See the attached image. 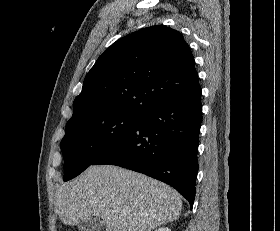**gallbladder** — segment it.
Returning <instances> with one entry per match:
<instances>
[{
    "instance_id": "1",
    "label": "gallbladder",
    "mask_w": 280,
    "mask_h": 231,
    "mask_svg": "<svg viewBox=\"0 0 280 231\" xmlns=\"http://www.w3.org/2000/svg\"><path fill=\"white\" fill-rule=\"evenodd\" d=\"M78 227L81 231H101L104 227V221H102L101 217H90V219L80 221Z\"/></svg>"
}]
</instances>
